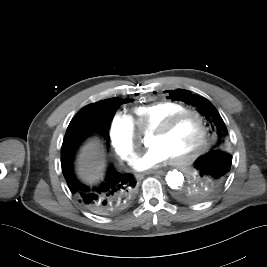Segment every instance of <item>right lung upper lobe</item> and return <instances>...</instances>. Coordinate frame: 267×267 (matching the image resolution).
Returning <instances> with one entry per match:
<instances>
[{
  "label": "right lung upper lobe",
  "instance_id": "right-lung-upper-lobe-1",
  "mask_svg": "<svg viewBox=\"0 0 267 267\" xmlns=\"http://www.w3.org/2000/svg\"><path fill=\"white\" fill-rule=\"evenodd\" d=\"M105 101V100H103ZM103 101H100V102H97V103H94V104H90V105H87L85 107H101V104ZM126 101H129V100H126Z\"/></svg>",
  "mask_w": 267,
  "mask_h": 267
}]
</instances>
